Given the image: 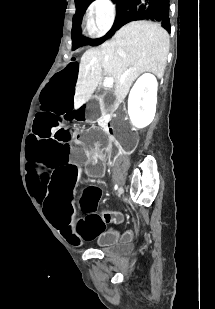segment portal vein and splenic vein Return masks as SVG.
<instances>
[{"instance_id":"portal-vein-and-splenic-vein-1","label":"portal vein and splenic vein","mask_w":215,"mask_h":309,"mask_svg":"<svg viewBox=\"0 0 215 309\" xmlns=\"http://www.w3.org/2000/svg\"><path fill=\"white\" fill-rule=\"evenodd\" d=\"M114 80L113 78H109V76H105L103 86H112Z\"/></svg>"}]
</instances>
